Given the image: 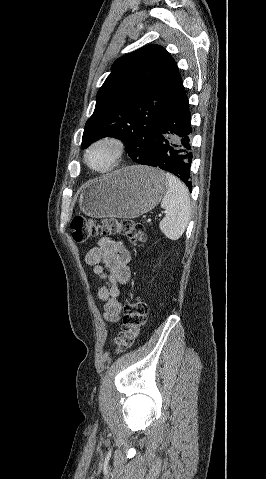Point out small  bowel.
I'll use <instances>...</instances> for the list:
<instances>
[{"mask_svg": "<svg viewBox=\"0 0 266 479\" xmlns=\"http://www.w3.org/2000/svg\"><path fill=\"white\" fill-rule=\"evenodd\" d=\"M131 256L122 242L112 238L99 239L96 247L86 254V262L103 285L97 289L98 297L104 302V318L117 323L122 309L119 286L129 282Z\"/></svg>", "mask_w": 266, "mask_h": 479, "instance_id": "c3829d8e", "label": "small bowel"}]
</instances>
